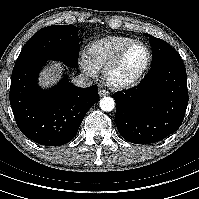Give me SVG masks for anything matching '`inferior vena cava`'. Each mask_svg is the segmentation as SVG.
Instances as JSON below:
<instances>
[{"label":"inferior vena cava","instance_id":"1","mask_svg":"<svg viewBox=\"0 0 199 199\" xmlns=\"http://www.w3.org/2000/svg\"><path fill=\"white\" fill-rule=\"evenodd\" d=\"M72 81L78 87H90L93 84L92 79L85 74L74 77Z\"/></svg>","mask_w":199,"mask_h":199}]
</instances>
